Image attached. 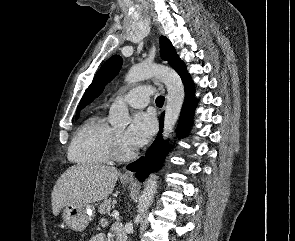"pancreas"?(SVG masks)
<instances>
[{"mask_svg":"<svg viewBox=\"0 0 295 241\" xmlns=\"http://www.w3.org/2000/svg\"><path fill=\"white\" fill-rule=\"evenodd\" d=\"M114 208V202L110 199H105L103 203L99 206V213L100 214H109L110 211Z\"/></svg>","mask_w":295,"mask_h":241,"instance_id":"1","label":"pancreas"}]
</instances>
